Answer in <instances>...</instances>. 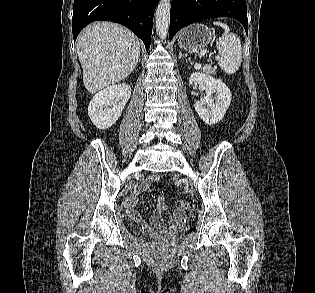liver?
<instances>
[{
    "label": "liver",
    "instance_id": "1",
    "mask_svg": "<svg viewBox=\"0 0 315 293\" xmlns=\"http://www.w3.org/2000/svg\"><path fill=\"white\" fill-rule=\"evenodd\" d=\"M83 83L96 93L125 79L137 65L140 41L129 29L111 22L86 27L77 39Z\"/></svg>",
    "mask_w": 315,
    "mask_h": 293
}]
</instances>
